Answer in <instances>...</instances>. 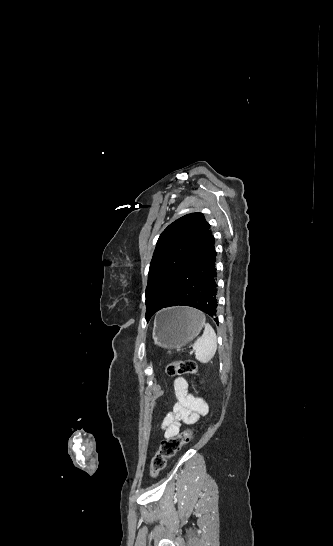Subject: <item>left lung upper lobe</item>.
Wrapping results in <instances>:
<instances>
[{"mask_svg":"<svg viewBox=\"0 0 333 546\" xmlns=\"http://www.w3.org/2000/svg\"><path fill=\"white\" fill-rule=\"evenodd\" d=\"M210 230L202 213L187 214L170 224L160 235L150 263L146 287V320L162 309L171 287L193 262ZM203 262L194 269L201 272Z\"/></svg>","mask_w":333,"mask_h":546,"instance_id":"5c2ea615","label":"left lung upper lobe"}]
</instances>
